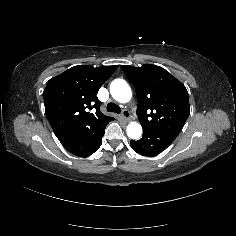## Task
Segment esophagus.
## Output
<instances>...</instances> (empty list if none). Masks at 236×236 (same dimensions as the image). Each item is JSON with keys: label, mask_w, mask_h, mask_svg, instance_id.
Instances as JSON below:
<instances>
[{"label": "esophagus", "mask_w": 236, "mask_h": 236, "mask_svg": "<svg viewBox=\"0 0 236 236\" xmlns=\"http://www.w3.org/2000/svg\"><path fill=\"white\" fill-rule=\"evenodd\" d=\"M129 115H130V113H129L128 110H123V112H122V117H123L126 121L129 120Z\"/></svg>", "instance_id": "esophagus-1"}]
</instances>
